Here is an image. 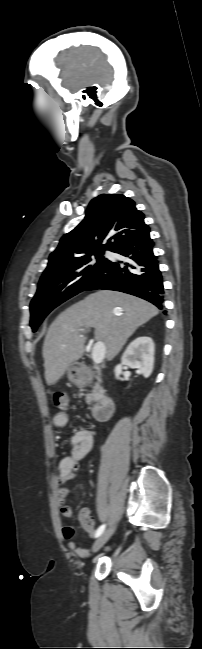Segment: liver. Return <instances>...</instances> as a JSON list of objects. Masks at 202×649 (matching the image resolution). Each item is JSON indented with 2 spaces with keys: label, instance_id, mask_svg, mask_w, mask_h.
<instances>
[{
  "label": "liver",
  "instance_id": "obj_1",
  "mask_svg": "<svg viewBox=\"0 0 202 649\" xmlns=\"http://www.w3.org/2000/svg\"><path fill=\"white\" fill-rule=\"evenodd\" d=\"M159 313L157 307L138 297L100 290L65 309L46 334L42 354L45 380L54 385L85 350L83 328H94L112 360L140 325Z\"/></svg>",
  "mask_w": 202,
  "mask_h": 649
}]
</instances>
